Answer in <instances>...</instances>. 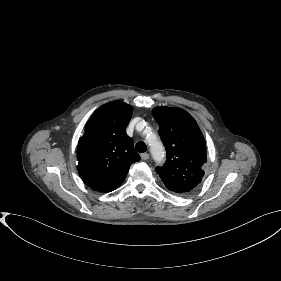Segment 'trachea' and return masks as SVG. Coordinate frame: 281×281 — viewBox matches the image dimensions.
<instances>
[{"instance_id":"1","label":"trachea","mask_w":281,"mask_h":281,"mask_svg":"<svg viewBox=\"0 0 281 281\" xmlns=\"http://www.w3.org/2000/svg\"><path fill=\"white\" fill-rule=\"evenodd\" d=\"M135 149H136V151L139 152V153H144V152H146V150H147V146H146L145 142L139 141V142L136 144Z\"/></svg>"}]
</instances>
